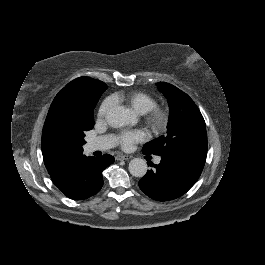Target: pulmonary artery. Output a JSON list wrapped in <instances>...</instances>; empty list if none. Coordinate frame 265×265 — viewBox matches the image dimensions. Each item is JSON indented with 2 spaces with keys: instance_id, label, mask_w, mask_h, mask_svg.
<instances>
[{
  "instance_id": "e3ab8cb5",
  "label": "pulmonary artery",
  "mask_w": 265,
  "mask_h": 265,
  "mask_svg": "<svg viewBox=\"0 0 265 265\" xmlns=\"http://www.w3.org/2000/svg\"><path fill=\"white\" fill-rule=\"evenodd\" d=\"M124 140L122 134L117 133L114 135L113 139L109 136L98 137L90 140L89 150L90 151H106L114 147L115 143L120 144ZM115 142V143H114ZM161 160L160 157L155 159V163H159Z\"/></svg>"
}]
</instances>
